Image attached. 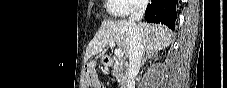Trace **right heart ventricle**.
Here are the masks:
<instances>
[{"label":"right heart ventricle","mask_w":227,"mask_h":88,"mask_svg":"<svg viewBox=\"0 0 227 88\" xmlns=\"http://www.w3.org/2000/svg\"><path fill=\"white\" fill-rule=\"evenodd\" d=\"M107 11L116 18L124 17L126 14V5L124 0H107Z\"/></svg>","instance_id":"right-heart-ventricle-1"}]
</instances>
